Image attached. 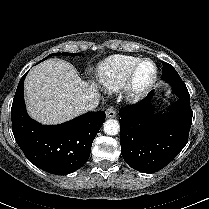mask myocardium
Segmentation results:
<instances>
[{
  "mask_svg": "<svg viewBox=\"0 0 209 209\" xmlns=\"http://www.w3.org/2000/svg\"><path fill=\"white\" fill-rule=\"evenodd\" d=\"M145 62H149L153 65L154 75L152 80L148 84L139 85L136 81L137 72L140 66ZM158 75H159L158 67L153 60L149 58L140 59L132 68L125 85V94L127 99L131 102H138L143 98H145L155 87L158 80Z\"/></svg>",
  "mask_w": 209,
  "mask_h": 209,
  "instance_id": "myocardium-1",
  "label": "myocardium"
}]
</instances>
